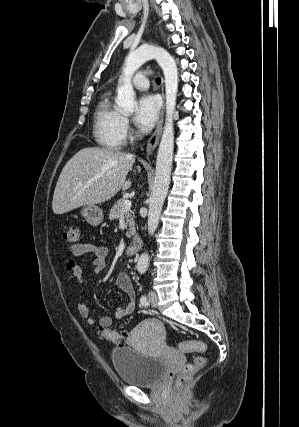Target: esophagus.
<instances>
[{
	"mask_svg": "<svg viewBox=\"0 0 299 427\" xmlns=\"http://www.w3.org/2000/svg\"><path fill=\"white\" fill-rule=\"evenodd\" d=\"M162 97L164 100L163 81H162ZM163 118H164V104L162 107V111L160 114V119H159V122L157 124V127H156L154 133L152 134V136L150 137V139L148 140V143H147V155L148 156L152 154V152L154 151V149L156 148V146L158 144V141H159V138H160V135L162 132Z\"/></svg>",
	"mask_w": 299,
	"mask_h": 427,
	"instance_id": "34e87169",
	"label": "esophagus"
}]
</instances>
